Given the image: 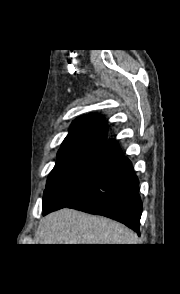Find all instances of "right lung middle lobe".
<instances>
[{"instance_id": "obj_1", "label": "right lung middle lobe", "mask_w": 180, "mask_h": 294, "mask_svg": "<svg viewBox=\"0 0 180 294\" xmlns=\"http://www.w3.org/2000/svg\"><path fill=\"white\" fill-rule=\"evenodd\" d=\"M99 146L95 143H73L61 146L57 155L58 160L48 177L43 196V208L48 206L54 197L70 183Z\"/></svg>"}]
</instances>
